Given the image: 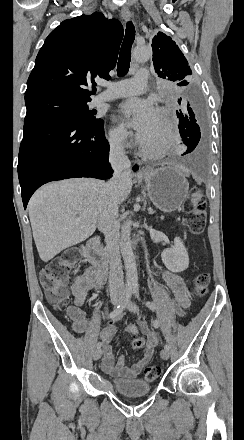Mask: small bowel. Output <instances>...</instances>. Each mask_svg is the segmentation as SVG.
Wrapping results in <instances>:
<instances>
[{
  "mask_svg": "<svg viewBox=\"0 0 244 440\" xmlns=\"http://www.w3.org/2000/svg\"><path fill=\"white\" fill-rule=\"evenodd\" d=\"M162 278L172 293V298L164 302L163 310L166 313H175L179 317H184L185 310L190 306V299L187 295L183 278L171 270H165ZM106 280V273L102 274L99 269L91 265L83 268L72 286L73 303H78L82 306L87 299L89 291L104 286ZM86 329H89L92 333L98 332L89 322ZM138 331L146 336L148 345L145 347L143 357L131 366H126V356L124 354H120L117 359L115 358L112 340L116 335V328L110 325L99 333L100 340L103 342V356L101 360L103 372L116 380H131L140 374L160 344V336L142 320L138 323Z\"/></svg>",
  "mask_w": 244,
  "mask_h": 440,
  "instance_id": "c3829d8e",
  "label": "small bowel"
}]
</instances>
